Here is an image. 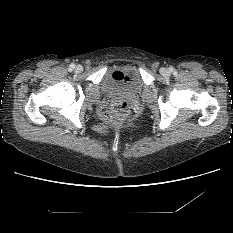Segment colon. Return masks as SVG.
<instances>
[{
    "mask_svg": "<svg viewBox=\"0 0 233 233\" xmlns=\"http://www.w3.org/2000/svg\"><path fill=\"white\" fill-rule=\"evenodd\" d=\"M130 113V106L125 100H115L106 104L102 109L104 125L113 128Z\"/></svg>",
    "mask_w": 233,
    "mask_h": 233,
    "instance_id": "obj_1",
    "label": "colon"
}]
</instances>
